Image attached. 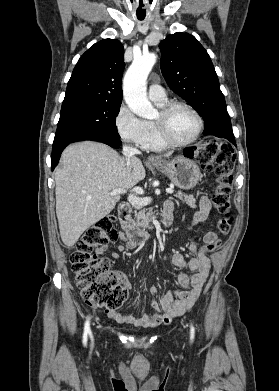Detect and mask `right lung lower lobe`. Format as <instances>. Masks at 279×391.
<instances>
[{"label": "right lung lower lobe", "mask_w": 279, "mask_h": 391, "mask_svg": "<svg viewBox=\"0 0 279 391\" xmlns=\"http://www.w3.org/2000/svg\"><path fill=\"white\" fill-rule=\"evenodd\" d=\"M82 140H93V141L103 142L113 148H118L121 145V140L119 139L118 132L113 130H102L98 132H92L82 136H78L76 138L67 141L53 143L52 155H51V169L54 170V168L57 166L61 153L68 144L77 141H82Z\"/></svg>", "instance_id": "1"}]
</instances>
